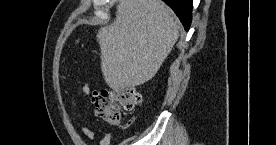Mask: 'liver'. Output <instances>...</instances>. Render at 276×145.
I'll list each match as a JSON object with an SVG mask.
<instances>
[{
    "instance_id": "6515ba94",
    "label": "liver",
    "mask_w": 276,
    "mask_h": 145,
    "mask_svg": "<svg viewBox=\"0 0 276 145\" xmlns=\"http://www.w3.org/2000/svg\"><path fill=\"white\" fill-rule=\"evenodd\" d=\"M178 35V21L163 1L120 0L114 22L96 36L106 84L118 90L152 79Z\"/></svg>"
}]
</instances>
